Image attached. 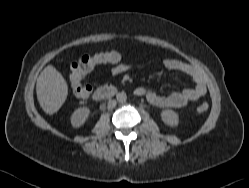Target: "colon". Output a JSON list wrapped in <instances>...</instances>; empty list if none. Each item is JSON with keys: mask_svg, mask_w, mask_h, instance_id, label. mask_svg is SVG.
Returning a JSON list of instances; mask_svg holds the SVG:
<instances>
[{"mask_svg": "<svg viewBox=\"0 0 249 188\" xmlns=\"http://www.w3.org/2000/svg\"><path fill=\"white\" fill-rule=\"evenodd\" d=\"M121 56L116 51L100 52L93 55H83L78 60L72 62L70 70V80L75 97L79 102H85L91 94V86L84 83L83 79L92 68L98 64L116 63ZM208 110V104L201 102L197 108L198 115L204 114Z\"/></svg>", "mask_w": 249, "mask_h": 188, "instance_id": "5ec220e1", "label": "colon"}]
</instances>
